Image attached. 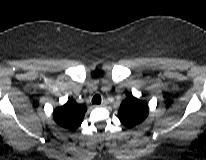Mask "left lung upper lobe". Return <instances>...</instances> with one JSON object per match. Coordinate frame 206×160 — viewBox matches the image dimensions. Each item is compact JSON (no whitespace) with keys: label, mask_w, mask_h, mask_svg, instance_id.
<instances>
[{"label":"left lung upper lobe","mask_w":206,"mask_h":160,"mask_svg":"<svg viewBox=\"0 0 206 160\" xmlns=\"http://www.w3.org/2000/svg\"><path fill=\"white\" fill-rule=\"evenodd\" d=\"M148 113L146 102L130 95L121 103L118 116L124 126L132 128L143 122Z\"/></svg>","instance_id":"1"}]
</instances>
